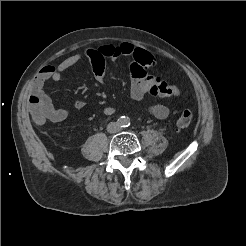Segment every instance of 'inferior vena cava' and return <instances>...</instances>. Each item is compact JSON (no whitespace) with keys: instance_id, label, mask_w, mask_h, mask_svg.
I'll return each instance as SVG.
<instances>
[{"instance_id":"inferior-vena-cava-1","label":"inferior vena cava","mask_w":246,"mask_h":246,"mask_svg":"<svg viewBox=\"0 0 246 246\" xmlns=\"http://www.w3.org/2000/svg\"><path fill=\"white\" fill-rule=\"evenodd\" d=\"M107 131L109 133H117L120 131V125L115 122H111L107 126Z\"/></svg>"}]
</instances>
